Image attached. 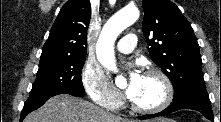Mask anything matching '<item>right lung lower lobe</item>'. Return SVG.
Returning a JSON list of instances; mask_svg holds the SVG:
<instances>
[{"instance_id": "obj_1", "label": "right lung lower lobe", "mask_w": 221, "mask_h": 122, "mask_svg": "<svg viewBox=\"0 0 221 122\" xmlns=\"http://www.w3.org/2000/svg\"><path fill=\"white\" fill-rule=\"evenodd\" d=\"M58 94H70L79 97H83L85 95V93L78 92L72 89H56L45 93L30 95L22 109L20 121H23V119L33 110L41 107L49 98Z\"/></svg>"}]
</instances>
